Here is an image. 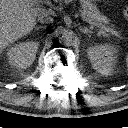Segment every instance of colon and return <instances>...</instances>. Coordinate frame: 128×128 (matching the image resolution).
Returning a JSON list of instances; mask_svg holds the SVG:
<instances>
[{"label": "colon", "instance_id": "colon-1", "mask_svg": "<svg viewBox=\"0 0 128 128\" xmlns=\"http://www.w3.org/2000/svg\"><path fill=\"white\" fill-rule=\"evenodd\" d=\"M124 15L128 19V3L124 6Z\"/></svg>", "mask_w": 128, "mask_h": 128}]
</instances>
